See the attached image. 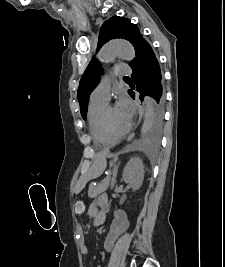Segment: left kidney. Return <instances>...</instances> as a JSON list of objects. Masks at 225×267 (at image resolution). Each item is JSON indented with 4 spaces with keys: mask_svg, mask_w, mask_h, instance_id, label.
I'll return each mask as SVG.
<instances>
[{
    "mask_svg": "<svg viewBox=\"0 0 225 267\" xmlns=\"http://www.w3.org/2000/svg\"><path fill=\"white\" fill-rule=\"evenodd\" d=\"M122 178L133 190H138L144 179L142 160L140 158H131L123 170Z\"/></svg>",
    "mask_w": 225,
    "mask_h": 267,
    "instance_id": "obj_1",
    "label": "left kidney"
}]
</instances>
